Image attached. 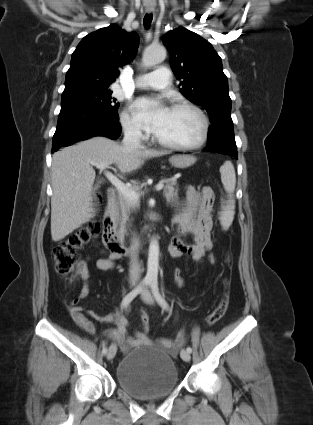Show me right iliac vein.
I'll list each match as a JSON object with an SVG mask.
<instances>
[{
    "label": "right iliac vein",
    "mask_w": 313,
    "mask_h": 425,
    "mask_svg": "<svg viewBox=\"0 0 313 425\" xmlns=\"http://www.w3.org/2000/svg\"><path fill=\"white\" fill-rule=\"evenodd\" d=\"M116 350H117V348H116V345L115 344H112L109 347V350H108V353H107V359L108 360H112L114 358V356L116 354Z\"/></svg>",
    "instance_id": "63e3f726"
}]
</instances>
